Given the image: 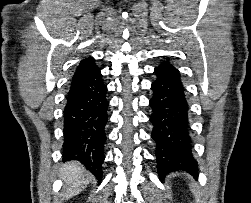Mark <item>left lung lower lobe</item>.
Wrapping results in <instances>:
<instances>
[{
    "instance_id": "0a47b994",
    "label": "left lung lower lobe",
    "mask_w": 251,
    "mask_h": 203,
    "mask_svg": "<svg viewBox=\"0 0 251 203\" xmlns=\"http://www.w3.org/2000/svg\"><path fill=\"white\" fill-rule=\"evenodd\" d=\"M150 99L153 125L152 139L156 143V161L160 178L174 171H186L198 176V163L192 154L189 104L179 71L168 60L154 71Z\"/></svg>"
}]
</instances>
